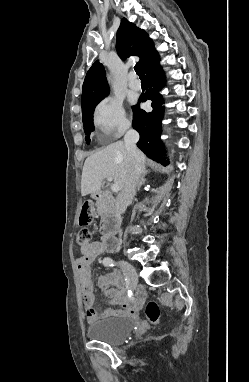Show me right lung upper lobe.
<instances>
[{"label": "right lung upper lobe", "instance_id": "obj_1", "mask_svg": "<svg viewBox=\"0 0 249 382\" xmlns=\"http://www.w3.org/2000/svg\"><path fill=\"white\" fill-rule=\"evenodd\" d=\"M116 49L122 59L134 55L140 58L139 64L143 71L158 57L154 44L148 34L129 22L126 18L121 20L117 31ZM109 93L104 67L96 61L85 77L82 87V111L98 99H103Z\"/></svg>", "mask_w": 249, "mask_h": 382}]
</instances>
